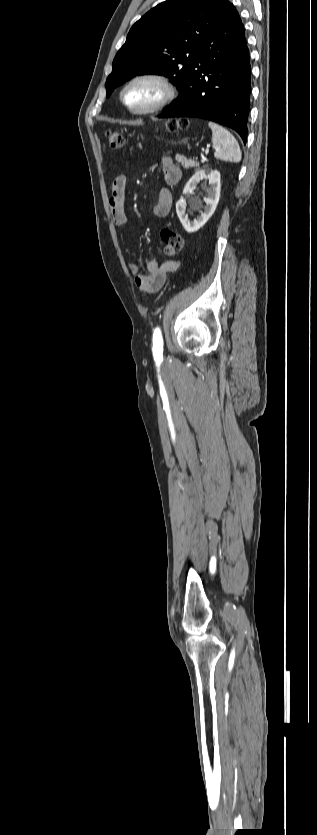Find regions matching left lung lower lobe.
I'll return each mask as SVG.
<instances>
[{
	"label": "left lung lower lobe",
	"instance_id": "1",
	"mask_svg": "<svg viewBox=\"0 0 317 835\" xmlns=\"http://www.w3.org/2000/svg\"><path fill=\"white\" fill-rule=\"evenodd\" d=\"M251 66L244 26L231 4L205 40L176 100L159 118L198 117L247 139Z\"/></svg>",
	"mask_w": 317,
	"mask_h": 835
}]
</instances>
